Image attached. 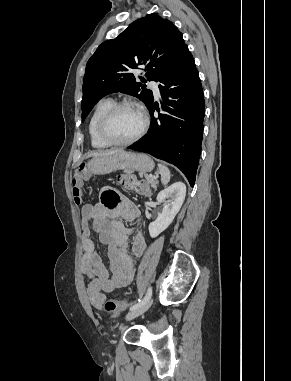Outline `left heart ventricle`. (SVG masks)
I'll use <instances>...</instances> for the list:
<instances>
[{
	"mask_svg": "<svg viewBox=\"0 0 291 381\" xmlns=\"http://www.w3.org/2000/svg\"><path fill=\"white\" fill-rule=\"evenodd\" d=\"M142 122L139 110L131 107L122 108L110 119L107 130L116 140H128L139 132Z\"/></svg>",
	"mask_w": 291,
	"mask_h": 381,
	"instance_id": "b2bd125f",
	"label": "left heart ventricle"
}]
</instances>
